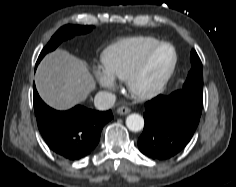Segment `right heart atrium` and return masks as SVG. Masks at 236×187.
I'll return each mask as SVG.
<instances>
[{"label": "right heart atrium", "mask_w": 236, "mask_h": 187, "mask_svg": "<svg viewBox=\"0 0 236 187\" xmlns=\"http://www.w3.org/2000/svg\"><path fill=\"white\" fill-rule=\"evenodd\" d=\"M94 78L99 85L107 90H114L117 87L116 80L113 76L101 68H94Z\"/></svg>", "instance_id": "d8ad5b80"}]
</instances>
